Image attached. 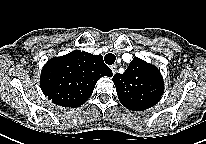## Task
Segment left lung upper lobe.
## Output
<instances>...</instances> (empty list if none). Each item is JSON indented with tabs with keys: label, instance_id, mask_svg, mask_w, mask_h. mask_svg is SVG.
Listing matches in <instances>:
<instances>
[{
	"label": "left lung upper lobe",
	"instance_id": "5c2ea615",
	"mask_svg": "<svg viewBox=\"0 0 206 144\" xmlns=\"http://www.w3.org/2000/svg\"><path fill=\"white\" fill-rule=\"evenodd\" d=\"M123 106L143 111L156 105L163 95L164 82L160 71L152 64L135 57L123 74L112 78Z\"/></svg>",
	"mask_w": 206,
	"mask_h": 144
}]
</instances>
